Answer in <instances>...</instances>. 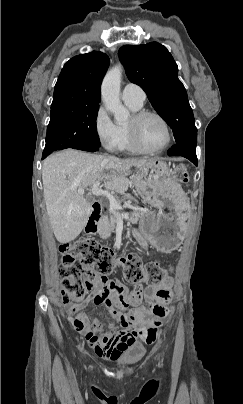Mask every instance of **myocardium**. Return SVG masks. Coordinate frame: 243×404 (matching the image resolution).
I'll list each match as a JSON object with an SVG mask.
<instances>
[{"label": "myocardium", "instance_id": "obj_1", "mask_svg": "<svg viewBox=\"0 0 243 404\" xmlns=\"http://www.w3.org/2000/svg\"><path fill=\"white\" fill-rule=\"evenodd\" d=\"M148 115H155L158 118H160L163 121V123L165 124L166 129H167V133H168L167 141L162 147L157 148V149H151V148L146 147L140 141V139L138 138L137 133H136L137 123H139L144 117H146ZM126 129H127L131 142L134 144V146L136 148H138L139 150H141L144 153L153 154V153L163 152L171 145L172 140H173V129H172L170 122L161 112L154 110V109H141V110L135 112L131 117V122L126 124Z\"/></svg>", "mask_w": 243, "mask_h": 404}]
</instances>
